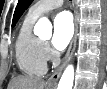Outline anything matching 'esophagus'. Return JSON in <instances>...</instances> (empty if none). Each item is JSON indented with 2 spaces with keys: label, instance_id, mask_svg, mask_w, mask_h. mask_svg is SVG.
<instances>
[{
  "label": "esophagus",
  "instance_id": "34e87169",
  "mask_svg": "<svg viewBox=\"0 0 107 89\" xmlns=\"http://www.w3.org/2000/svg\"><path fill=\"white\" fill-rule=\"evenodd\" d=\"M73 11H74V35L72 37V40L69 44L68 51L63 59L62 64L59 66V68L48 78L47 84L49 85H56L58 83V80L62 74V71L64 70L65 66L68 64L70 59L72 58L76 41H77V32H78V11L76 7V0L73 1Z\"/></svg>",
  "mask_w": 107,
  "mask_h": 89
}]
</instances>
